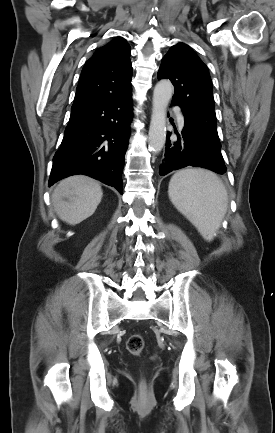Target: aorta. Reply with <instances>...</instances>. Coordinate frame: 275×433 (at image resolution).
<instances>
[{"label": "aorta", "instance_id": "762f6f07", "mask_svg": "<svg viewBox=\"0 0 275 433\" xmlns=\"http://www.w3.org/2000/svg\"><path fill=\"white\" fill-rule=\"evenodd\" d=\"M173 94V85L170 80H160L153 92L152 115L149 128V149L159 153L166 141L167 107Z\"/></svg>", "mask_w": 275, "mask_h": 433}]
</instances>
